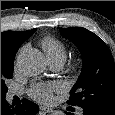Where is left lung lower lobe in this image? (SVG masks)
Masks as SVG:
<instances>
[{"label": "left lung lower lobe", "mask_w": 115, "mask_h": 115, "mask_svg": "<svg viewBox=\"0 0 115 115\" xmlns=\"http://www.w3.org/2000/svg\"><path fill=\"white\" fill-rule=\"evenodd\" d=\"M83 115H109L107 113L97 111V110H92V109H85L83 108ZM67 115H74L72 113H66Z\"/></svg>", "instance_id": "0a47b994"}]
</instances>
